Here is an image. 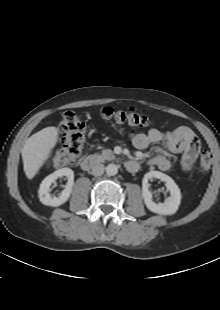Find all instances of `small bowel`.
<instances>
[{
  "instance_id": "obj_1",
  "label": "small bowel",
  "mask_w": 220,
  "mask_h": 310,
  "mask_svg": "<svg viewBox=\"0 0 220 310\" xmlns=\"http://www.w3.org/2000/svg\"><path fill=\"white\" fill-rule=\"evenodd\" d=\"M131 140L135 148L146 149L151 144L161 143L170 153H181V167L190 171L198 158L200 141L192 129L186 126L163 132L159 129H150L147 133H132ZM149 164L157 166L162 171L172 168L171 160L163 153L157 154L149 160Z\"/></svg>"
}]
</instances>
